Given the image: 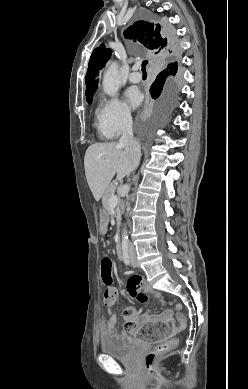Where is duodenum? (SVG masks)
Returning <instances> with one entry per match:
<instances>
[{
  "label": "duodenum",
  "mask_w": 248,
  "mask_h": 389,
  "mask_svg": "<svg viewBox=\"0 0 248 389\" xmlns=\"http://www.w3.org/2000/svg\"><path fill=\"white\" fill-rule=\"evenodd\" d=\"M116 255L119 259H123L124 253L120 240H117L115 244Z\"/></svg>",
  "instance_id": "duodenum-1"
}]
</instances>
